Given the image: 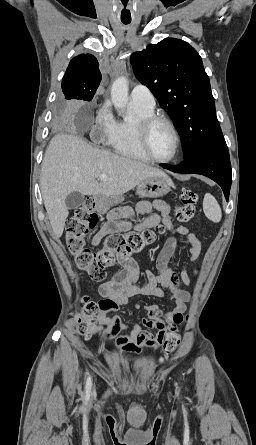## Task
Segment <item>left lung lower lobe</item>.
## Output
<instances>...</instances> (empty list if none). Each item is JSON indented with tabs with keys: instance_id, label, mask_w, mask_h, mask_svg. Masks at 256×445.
I'll list each match as a JSON object with an SVG mask.
<instances>
[{
	"instance_id": "left-lung-lower-lobe-1",
	"label": "left lung lower lobe",
	"mask_w": 256,
	"mask_h": 445,
	"mask_svg": "<svg viewBox=\"0 0 256 445\" xmlns=\"http://www.w3.org/2000/svg\"><path fill=\"white\" fill-rule=\"evenodd\" d=\"M176 173H194L207 176L218 183L229 198L231 187V164L226 145L204 148L185 158L176 167L162 165Z\"/></svg>"
}]
</instances>
